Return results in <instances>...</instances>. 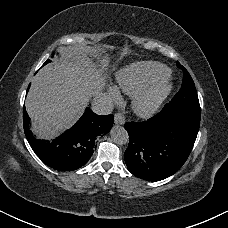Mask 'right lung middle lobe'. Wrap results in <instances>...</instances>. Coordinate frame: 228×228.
I'll return each mask as SVG.
<instances>
[{
    "label": "right lung middle lobe",
    "instance_id": "right-lung-middle-lobe-1",
    "mask_svg": "<svg viewBox=\"0 0 228 228\" xmlns=\"http://www.w3.org/2000/svg\"><path fill=\"white\" fill-rule=\"evenodd\" d=\"M49 62H51V60H47V61L43 64V66H44L45 64L49 63Z\"/></svg>",
    "mask_w": 228,
    "mask_h": 228
}]
</instances>
